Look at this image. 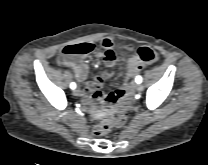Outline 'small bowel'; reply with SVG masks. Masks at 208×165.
<instances>
[{
    "mask_svg": "<svg viewBox=\"0 0 208 165\" xmlns=\"http://www.w3.org/2000/svg\"><path fill=\"white\" fill-rule=\"evenodd\" d=\"M85 43L91 46L92 52H93L95 49L94 44L89 43V42H85ZM99 44L104 49V51L97 52L96 57L100 59L107 66L113 65L116 60V56L113 50L115 47L113 40L110 37H103L99 40ZM126 49L131 50L132 47L127 46ZM87 55L88 54L80 56V57H76V58H69V59L62 58V65L65 67L71 68L74 71L77 80L82 83L86 80V77H87V70H88L87 63H86ZM138 73L139 71L136 72L134 76L132 77H135ZM111 76L112 74H108V73L98 75L92 81L84 84L81 88V91L80 90L79 91L82 93L83 97L86 99L94 98L95 100L99 102L104 101L109 104H116L121 99L120 90L122 89L123 85L120 80H113L111 82V85H110L111 87L109 91L107 92L106 96L100 92V89L102 87L104 80ZM132 77L126 76L125 81H127L128 79ZM130 89H131V85L127 84V90L129 91Z\"/></svg>",
    "mask_w": 208,
    "mask_h": 165,
    "instance_id": "c3829d8e",
    "label": "small bowel"
}]
</instances>
